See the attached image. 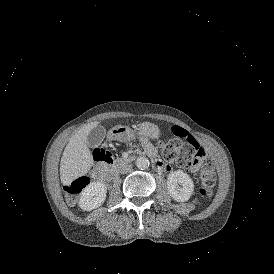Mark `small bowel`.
Masks as SVG:
<instances>
[{"label":"small bowel","mask_w":274,"mask_h":274,"mask_svg":"<svg viewBox=\"0 0 274 274\" xmlns=\"http://www.w3.org/2000/svg\"><path fill=\"white\" fill-rule=\"evenodd\" d=\"M143 146L144 148H146L150 153H154V148L151 145V143L147 140H143ZM109 170L105 169V170H101V171H95L93 172V177L95 178V180H97L99 177L103 176L104 174H106Z\"/></svg>","instance_id":"c3829d8e"}]
</instances>
